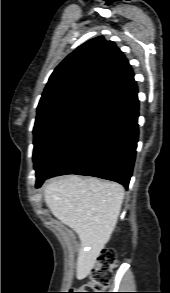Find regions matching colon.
Wrapping results in <instances>:
<instances>
[{
  "instance_id": "obj_1",
  "label": "colon",
  "mask_w": 170,
  "mask_h": 293,
  "mask_svg": "<svg viewBox=\"0 0 170 293\" xmlns=\"http://www.w3.org/2000/svg\"><path fill=\"white\" fill-rule=\"evenodd\" d=\"M117 264L116 252L104 248L91 267L86 280L72 289L71 293H101L112 281V270Z\"/></svg>"
}]
</instances>
